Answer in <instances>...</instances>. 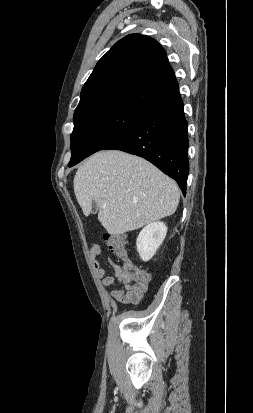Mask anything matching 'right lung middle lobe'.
I'll list each match as a JSON object with an SVG mask.
<instances>
[{"label": "right lung middle lobe", "instance_id": "right-lung-middle-lobe-1", "mask_svg": "<svg viewBox=\"0 0 253 413\" xmlns=\"http://www.w3.org/2000/svg\"><path fill=\"white\" fill-rule=\"evenodd\" d=\"M145 117V114L133 111L113 110L75 121L71 133L72 156L68 166L72 167L91 154L104 150L134 130Z\"/></svg>", "mask_w": 253, "mask_h": 413}]
</instances>
